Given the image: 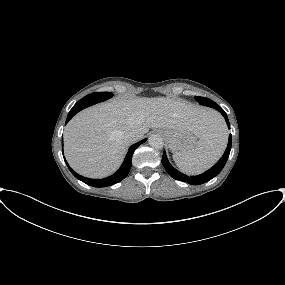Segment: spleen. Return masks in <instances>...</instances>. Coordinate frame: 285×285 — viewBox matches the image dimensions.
Listing matches in <instances>:
<instances>
[{"mask_svg":"<svg viewBox=\"0 0 285 285\" xmlns=\"http://www.w3.org/2000/svg\"><path fill=\"white\" fill-rule=\"evenodd\" d=\"M228 140V131L223 121L218 122L213 132L200 139L194 149L188 153L176 152L173 160L178 168L190 175L204 172L222 156Z\"/></svg>","mask_w":285,"mask_h":285,"instance_id":"3e777b00","label":"spleen"}]
</instances>
